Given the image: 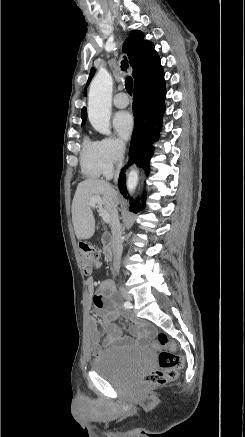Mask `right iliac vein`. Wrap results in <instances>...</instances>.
<instances>
[{
    "mask_svg": "<svg viewBox=\"0 0 245 437\" xmlns=\"http://www.w3.org/2000/svg\"><path fill=\"white\" fill-rule=\"evenodd\" d=\"M121 294L127 301H132L133 297L127 290L122 289Z\"/></svg>",
    "mask_w": 245,
    "mask_h": 437,
    "instance_id": "63e3f726",
    "label": "right iliac vein"
}]
</instances>
